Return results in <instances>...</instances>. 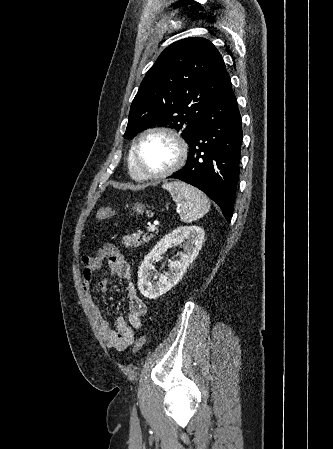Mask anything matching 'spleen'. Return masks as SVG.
I'll list each match as a JSON object with an SVG mask.
<instances>
[{"mask_svg": "<svg viewBox=\"0 0 333 449\" xmlns=\"http://www.w3.org/2000/svg\"><path fill=\"white\" fill-rule=\"evenodd\" d=\"M172 195L179 208L183 222H192L203 217L210 209L207 196L198 188L180 181L165 183L162 186Z\"/></svg>", "mask_w": 333, "mask_h": 449, "instance_id": "obj_1", "label": "spleen"}]
</instances>
